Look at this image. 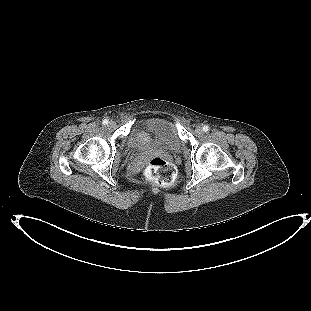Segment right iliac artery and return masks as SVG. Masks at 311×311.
Instances as JSON below:
<instances>
[{"instance_id":"right-iliac-artery-1","label":"right iliac artery","mask_w":311,"mask_h":311,"mask_svg":"<svg viewBox=\"0 0 311 311\" xmlns=\"http://www.w3.org/2000/svg\"><path fill=\"white\" fill-rule=\"evenodd\" d=\"M102 123L103 125H108L109 121L107 119H104Z\"/></svg>"}]
</instances>
